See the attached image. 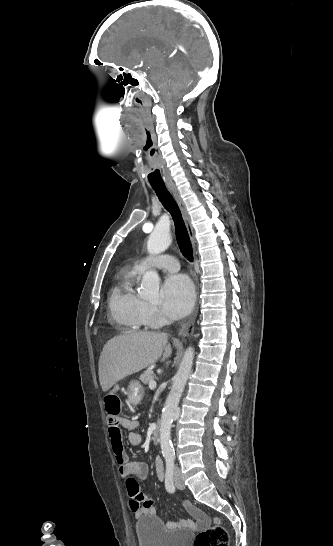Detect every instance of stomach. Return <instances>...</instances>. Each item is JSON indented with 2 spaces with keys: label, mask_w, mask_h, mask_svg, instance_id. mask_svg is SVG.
I'll list each match as a JSON object with an SVG mask.
<instances>
[{
  "label": "stomach",
  "mask_w": 333,
  "mask_h": 546,
  "mask_svg": "<svg viewBox=\"0 0 333 546\" xmlns=\"http://www.w3.org/2000/svg\"><path fill=\"white\" fill-rule=\"evenodd\" d=\"M127 401L132 405H137L142 399L144 389L137 381H132L127 387Z\"/></svg>",
  "instance_id": "stomach-1"
}]
</instances>
